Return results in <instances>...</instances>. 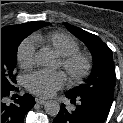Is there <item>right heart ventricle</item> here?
<instances>
[{
	"instance_id": "right-heart-ventricle-1",
	"label": "right heart ventricle",
	"mask_w": 123,
	"mask_h": 123,
	"mask_svg": "<svg viewBox=\"0 0 123 123\" xmlns=\"http://www.w3.org/2000/svg\"><path fill=\"white\" fill-rule=\"evenodd\" d=\"M35 45H43L53 49L59 56L79 50L77 40L65 32L36 33L31 37Z\"/></svg>"
}]
</instances>
